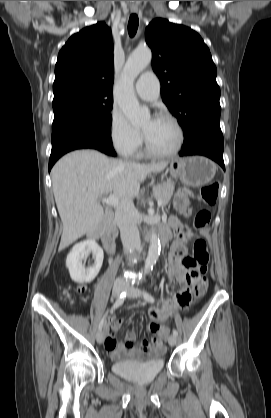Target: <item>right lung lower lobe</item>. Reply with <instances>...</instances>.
Returning <instances> with one entry per match:
<instances>
[{
    "mask_svg": "<svg viewBox=\"0 0 271 418\" xmlns=\"http://www.w3.org/2000/svg\"><path fill=\"white\" fill-rule=\"evenodd\" d=\"M82 148L97 149L111 156L116 155L111 141L110 130L101 126L70 130L52 137L49 171L62 155Z\"/></svg>",
    "mask_w": 271,
    "mask_h": 418,
    "instance_id": "obj_1",
    "label": "right lung lower lobe"
}]
</instances>
